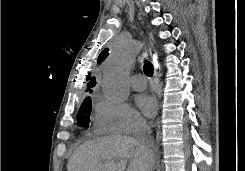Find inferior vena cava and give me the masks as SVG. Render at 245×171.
<instances>
[{"label": "inferior vena cava", "instance_id": "inferior-vena-cava-1", "mask_svg": "<svg viewBox=\"0 0 245 171\" xmlns=\"http://www.w3.org/2000/svg\"><path fill=\"white\" fill-rule=\"evenodd\" d=\"M136 141L138 142L144 156L150 160L153 158V138L151 129L146 122H139L136 132Z\"/></svg>", "mask_w": 245, "mask_h": 171}]
</instances>
